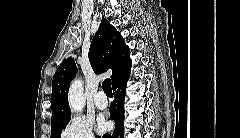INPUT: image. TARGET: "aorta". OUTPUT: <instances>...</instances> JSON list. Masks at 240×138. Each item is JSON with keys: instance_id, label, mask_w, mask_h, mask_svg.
<instances>
[{"instance_id": "1", "label": "aorta", "mask_w": 240, "mask_h": 138, "mask_svg": "<svg viewBox=\"0 0 240 138\" xmlns=\"http://www.w3.org/2000/svg\"><path fill=\"white\" fill-rule=\"evenodd\" d=\"M69 104L73 112H82L85 106V97L83 93V83L76 79L72 82L69 89Z\"/></svg>"}]
</instances>
